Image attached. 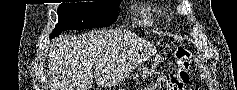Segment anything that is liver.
<instances>
[{
    "label": "liver",
    "instance_id": "1",
    "mask_svg": "<svg viewBox=\"0 0 237 90\" xmlns=\"http://www.w3.org/2000/svg\"><path fill=\"white\" fill-rule=\"evenodd\" d=\"M51 90H89L93 84L92 68H99L116 54L114 34L90 32L82 36H59L52 42Z\"/></svg>",
    "mask_w": 237,
    "mask_h": 90
}]
</instances>
